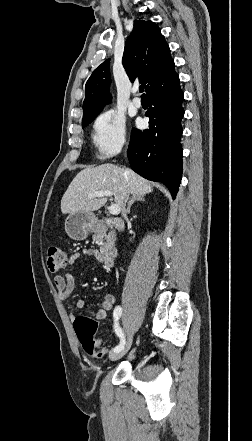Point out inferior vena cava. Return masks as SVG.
Returning <instances> with one entry per match:
<instances>
[{
    "mask_svg": "<svg viewBox=\"0 0 252 441\" xmlns=\"http://www.w3.org/2000/svg\"><path fill=\"white\" fill-rule=\"evenodd\" d=\"M122 215H123L124 218H126L125 208L124 207H123Z\"/></svg>",
    "mask_w": 252,
    "mask_h": 441,
    "instance_id": "602c4592",
    "label": "inferior vena cava"
}]
</instances>
